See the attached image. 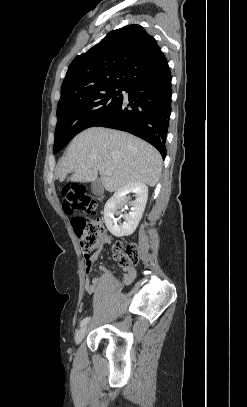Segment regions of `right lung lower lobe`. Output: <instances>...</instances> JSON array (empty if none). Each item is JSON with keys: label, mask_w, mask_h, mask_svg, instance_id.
Segmentation results:
<instances>
[{"label": "right lung lower lobe", "mask_w": 247, "mask_h": 407, "mask_svg": "<svg viewBox=\"0 0 247 407\" xmlns=\"http://www.w3.org/2000/svg\"><path fill=\"white\" fill-rule=\"evenodd\" d=\"M171 72L166 61L155 70L132 79L125 91L129 98L95 126L129 132L156 147L166 157V137L171 114Z\"/></svg>", "instance_id": "obj_1"}]
</instances>
